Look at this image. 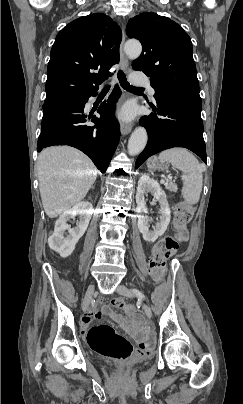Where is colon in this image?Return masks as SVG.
Wrapping results in <instances>:
<instances>
[{
	"mask_svg": "<svg viewBox=\"0 0 243 404\" xmlns=\"http://www.w3.org/2000/svg\"><path fill=\"white\" fill-rule=\"evenodd\" d=\"M190 217L191 208L186 203L179 204L175 210L173 235L164 237L154 246L150 268L155 281L164 280L167 260L178 250L180 241L186 239V225ZM112 304L128 314L133 313L132 307L122 299H115ZM87 341L94 351L112 359L125 360L133 351L131 343L109 324L91 327L87 332ZM152 347V340L143 341L139 345V352L148 355Z\"/></svg>",
	"mask_w": 243,
	"mask_h": 404,
	"instance_id": "obj_1",
	"label": "colon"
}]
</instances>
